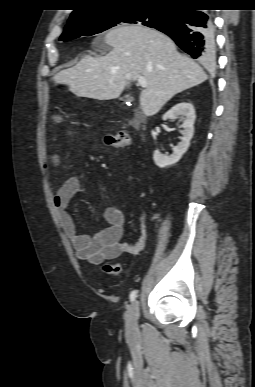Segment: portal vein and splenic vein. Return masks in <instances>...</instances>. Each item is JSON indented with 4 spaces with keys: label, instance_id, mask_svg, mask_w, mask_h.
Masks as SVG:
<instances>
[{
    "label": "portal vein and splenic vein",
    "instance_id": "1",
    "mask_svg": "<svg viewBox=\"0 0 255 387\" xmlns=\"http://www.w3.org/2000/svg\"><path fill=\"white\" fill-rule=\"evenodd\" d=\"M138 84L145 88L147 86L146 79L144 77H138Z\"/></svg>",
    "mask_w": 255,
    "mask_h": 387
}]
</instances>
